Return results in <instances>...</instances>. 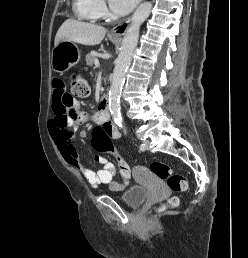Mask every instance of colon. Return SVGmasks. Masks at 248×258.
Segmentation results:
<instances>
[{
    "mask_svg": "<svg viewBox=\"0 0 248 258\" xmlns=\"http://www.w3.org/2000/svg\"><path fill=\"white\" fill-rule=\"evenodd\" d=\"M90 89L87 80L81 75H74L71 81V94L75 97H86L89 95ZM73 116V111H65L61 113L62 123L67 124L68 120H71ZM94 143L96 150L100 153H105V155H111L114 159V164L117 165V169L124 178H129L131 171L129 166H131V161L127 158H122V154L116 149V144H111L110 136L106 132L98 127L94 131ZM150 170L159 179L166 182L170 190L174 192H183L188 188L187 178L183 175L174 173L171 165L159 161L152 162L150 165ZM179 204L177 198H171L168 201V206L176 207Z\"/></svg>",
    "mask_w": 248,
    "mask_h": 258,
    "instance_id": "5ec220e1",
    "label": "colon"
}]
</instances>
